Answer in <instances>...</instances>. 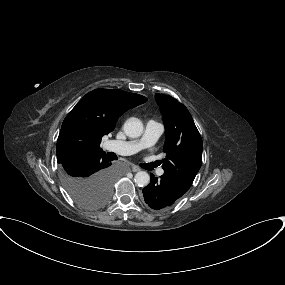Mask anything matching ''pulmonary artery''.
Returning a JSON list of instances; mask_svg holds the SVG:
<instances>
[{"mask_svg":"<svg viewBox=\"0 0 285 285\" xmlns=\"http://www.w3.org/2000/svg\"><path fill=\"white\" fill-rule=\"evenodd\" d=\"M163 130V125L160 122L149 120L145 125V132L141 139L131 141L108 140L105 142L104 146L107 150L119 155H132L141 149L154 144L163 133ZM162 174L163 170L160 169L158 175Z\"/></svg>","mask_w":285,"mask_h":285,"instance_id":"obj_1","label":"pulmonary artery"}]
</instances>
